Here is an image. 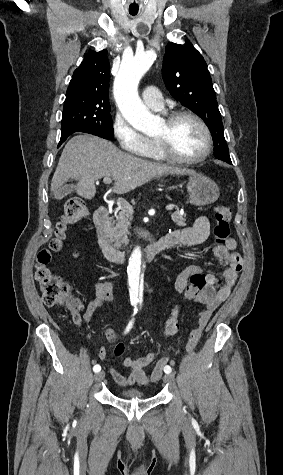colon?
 <instances>
[{"instance_id": "colon-1", "label": "colon", "mask_w": 283, "mask_h": 475, "mask_svg": "<svg viewBox=\"0 0 283 475\" xmlns=\"http://www.w3.org/2000/svg\"><path fill=\"white\" fill-rule=\"evenodd\" d=\"M88 215V209L82 199L71 197L63 208L61 219L58 223L57 232L51 242V250H43L37 260L42 265L35 272V279L39 285L43 302L46 306L52 308H64L71 317V320L77 324L81 320V314L84 309L82 300L74 294L71 285L66 283L61 276L51 271L46 265L52 261L51 251H58L64 247L65 231L68 226L74 225ZM215 223L213 225V234L216 244H224L230 237V221L232 210L230 207L219 204L214 208ZM211 282L210 277L205 273H193L190 277V283L185 289L184 298L192 301L195 295ZM177 310L175 307L172 309ZM179 330V317L176 313H171L165 321L164 335L167 339L172 338ZM165 360L164 356L160 357Z\"/></svg>"}]
</instances>
